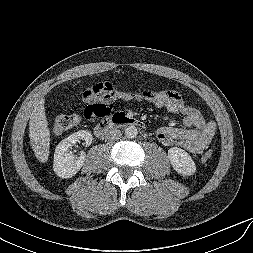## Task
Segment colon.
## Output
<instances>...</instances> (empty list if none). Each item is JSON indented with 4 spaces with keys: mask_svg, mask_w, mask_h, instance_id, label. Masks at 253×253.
<instances>
[{
    "mask_svg": "<svg viewBox=\"0 0 253 253\" xmlns=\"http://www.w3.org/2000/svg\"><path fill=\"white\" fill-rule=\"evenodd\" d=\"M100 98L105 102L108 101V98L106 97L105 93L100 94ZM109 113L110 110L106 104L97 102L90 105L86 109L85 116L87 118H93L105 116ZM77 122L78 116L76 114L60 113L56 115L53 120L52 131L55 135H59L65 131L72 129L77 124ZM212 156L213 152L209 150L202 156V161L207 162L212 158Z\"/></svg>",
    "mask_w": 253,
    "mask_h": 253,
    "instance_id": "1",
    "label": "colon"
}]
</instances>
